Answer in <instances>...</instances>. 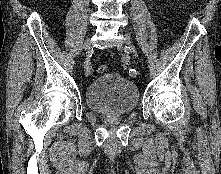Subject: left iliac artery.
Returning a JSON list of instances; mask_svg holds the SVG:
<instances>
[{
    "instance_id": "obj_1",
    "label": "left iliac artery",
    "mask_w": 221,
    "mask_h": 174,
    "mask_svg": "<svg viewBox=\"0 0 221 174\" xmlns=\"http://www.w3.org/2000/svg\"><path fill=\"white\" fill-rule=\"evenodd\" d=\"M121 61H122V63H123L124 65L128 66L129 63H130V57H129V55L123 54L122 57H121ZM129 74H130L131 76H134V75L137 74V71H136L135 69H133V68H129Z\"/></svg>"
}]
</instances>
